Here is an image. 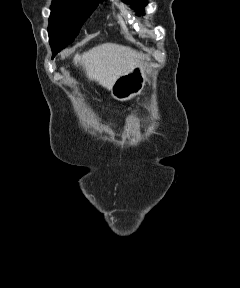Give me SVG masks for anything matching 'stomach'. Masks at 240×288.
I'll return each instance as SVG.
<instances>
[{"label":"stomach","mask_w":240,"mask_h":288,"mask_svg":"<svg viewBox=\"0 0 240 288\" xmlns=\"http://www.w3.org/2000/svg\"><path fill=\"white\" fill-rule=\"evenodd\" d=\"M144 65L138 64L119 77L111 88V96L118 101H128L141 94L146 84Z\"/></svg>","instance_id":"stomach-1"}]
</instances>
